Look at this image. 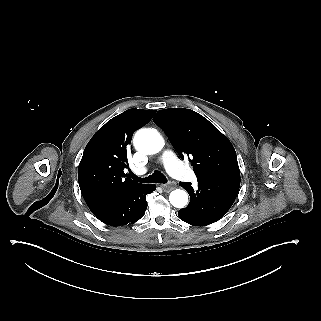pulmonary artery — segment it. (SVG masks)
I'll list each match as a JSON object with an SVG mask.
<instances>
[{"label":"pulmonary artery","instance_id":"obj_1","mask_svg":"<svg viewBox=\"0 0 321 321\" xmlns=\"http://www.w3.org/2000/svg\"><path fill=\"white\" fill-rule=\"evenodd\" d=\"M164 163L168 168L169 172L172 173V176L180 181L183 180H192L194 178V171L192 169H187L182 166L177 156L170 154L166 156Z\"/></svg>","mask_w":321,"mask_h":321}]
</instances>
